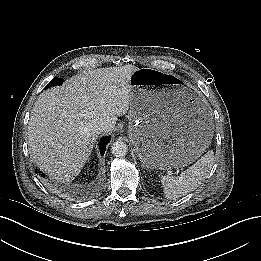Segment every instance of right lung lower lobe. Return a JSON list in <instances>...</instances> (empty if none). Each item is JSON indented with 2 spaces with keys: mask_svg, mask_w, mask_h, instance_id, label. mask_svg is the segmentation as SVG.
I'll list each match as a JSON object with an SVG mask.
<instances>
[{
  "mask_svg": "<svg viewBox=\"0 0 261 261\" xmlns=\"http://www.w3.org/2000/svg\"><path fill=\"white\" fill-rule=\"evenodd\" d=\"M110 140H111V136H107V137H104L101 139V141L99 143V149H100V152L102 153V155H104L105 147ZM36 172H37V170H36ZM42 177H44V174H42Z\"/></svg>",
  "mask_w": 261,
  "mask_h": 261,
  "instance_id": "98d812e1",
  "label": "right lung lower lobe"
}]
</instances>
